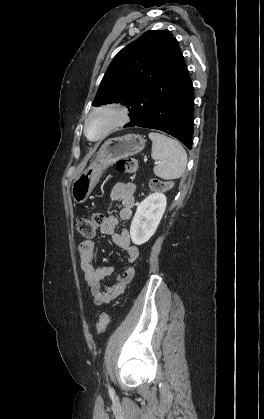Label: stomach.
Listing matches in <instances>:
<instances>
[{"label": "stomach", "mask_w": 264, "mask_h": 419, "mask_svg": "<svg viewBox=\"0 0 264 419\" xmlns=\"http://www.w3.org/2000/svg\"><path fill=\"white\" fill-rule=\"evenodd\" d=\"M145 139L128 134L108 139L99 149L93 162L73 181L71 195L77 204L84 203L97 185L102 173L119 159L141 152Z\"/></svg>", "instance_id": "1"}]
</instances>
